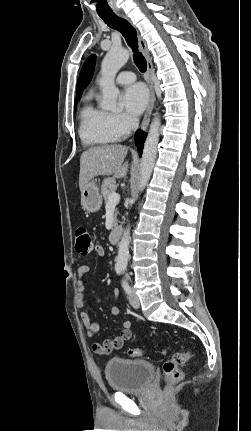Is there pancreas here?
Here are the masks:
<instances>
[{"label":"pancreas","mask_w":251,"mask_h":431,"mask_svg":"<svg viewBox=\"0 0 251 431\" xmlns=\"http://www.w3.org/2000/svg\"><path fill=\"white\" fill-rule=\"evenodd\" d=\"M115 191H116L115 180L113 178L104 179L101 186V193L106 204L109 203L110 194L114 193ZM117 214L118 212L116 211L114 215V226L117 225V219H116Z\"/></svg>","instance_id":"1"}]
</instances>
